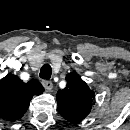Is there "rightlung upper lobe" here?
I'll return each mask as SVG.
<instances>
[{
    "mask_svg": "<svg viewBox=\"0 0 130 130\" xmlns=\"http://www.w3.org/2000/svg\"><path fill=\"white\" fill-rule=\"evenodd\" d=\"M43 92V86L36 79L24 83L16 75L5 76L0 80V117L8 121L20 119L32 97Z\"/></svg>",
    "mask_w": 130,
    "mask_h": 130,
    "instance_id": "obj_1",
    "label": "right lung upper lobe"
}]
</instances>
